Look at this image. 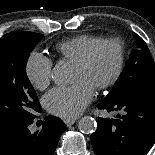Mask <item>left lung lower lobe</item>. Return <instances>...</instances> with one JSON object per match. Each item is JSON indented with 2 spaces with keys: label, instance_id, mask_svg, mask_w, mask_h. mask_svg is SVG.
Returning a JSON list of instances; mask_svg holds the SVG:
<instances>
[{
  "label": "left lung lower lobe",
  "instance_id": "0a47b994",
  "mask_svg": "<svg viewBox=\"0 0 155 155\" xmlns=\"http://www.w3.org/2000/svg\"><path fill=\"white\" fill-rule=\"evenodd\" d=\"M99 108L125 113L98 119L91 141L97 155L147 154L155 141V84L105 99Z\"/></svg>",
  "mask_w": 155,
  "mask_h": 155
}]
</instances>
